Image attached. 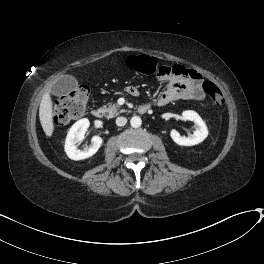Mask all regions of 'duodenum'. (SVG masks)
Listing matches in <instances>:
<instances>
[{
    "mask_svg": "<svg viewBox=\"0 0 264 264\" xmlns=\"http://www.w3.org/2000/svg\"><path fill=\"white\" fill-rule=\"evenodd\" d=\"M133 95H138V91H134L133 92ZM149 110V107L147 105H141L139 108H138V112L140 114H143L145 112H147ZM92 115L94 118L96 119H102L105 115V111L102 107H94L92 109Z\"/></svg>",
    "mask_w": 264,
    "mask_h": 264,
    "instance_id": "410a0bca",
    "label": "duodenum"
}]
</instances>
